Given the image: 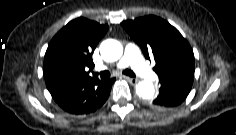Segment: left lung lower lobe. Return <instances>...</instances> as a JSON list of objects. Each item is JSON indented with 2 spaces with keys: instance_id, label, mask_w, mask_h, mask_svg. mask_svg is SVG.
Segmentation results:
<instances>
[{
  "instance_id": "left-lung-lower-lobe-1",
  "label": "left lung lower lobe",
  "mask_w": 236,
  "mask_h": 135,
  "mask_svg": "<svg viewBox=\"0 0 236 135\" xmlns=\"http://www.w3.org/2000/svg\"><path fill=\"white\" fill-rule=\"evenodd\" d=\"M159 95L151 105L157 109H170L180 105L188 96L193 78L170 77L159 79Z\"/></svg>"
}]
</instances>
